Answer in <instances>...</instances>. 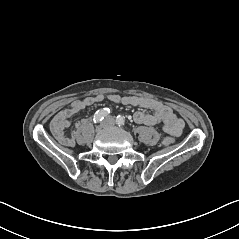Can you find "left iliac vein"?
Wrapping results in <instances>:
<instances>
[{
    "label": "left iliac vein",
    "mask_w": 239,
    "mask_h": 239,
    "mask_svg": "<svg viewBox=\"0 0 239 239\" xmlns=\"http://www.w3.org/2000/svg\"><path fill=\"white\" fill-rule=\"evenodd\" d=\"M107 120H108V121H110V122H112V121H113V120H112V118H110V117H109V118H107Z\"/></svg>",
    "instance_id": "left-iliac-vein-1"
}]
</instances>
